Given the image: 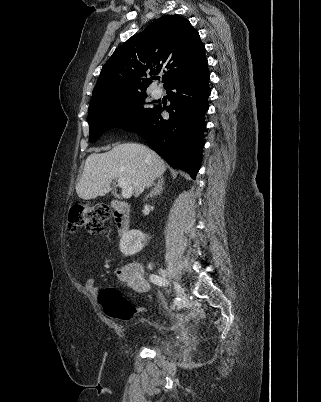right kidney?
<instances>
[{
	"label": "right kidney",
	"instance_id": "ca27d5eb",
	"mask_svg": "<svg viewBox=\"0 0 321 402\" xmlns=\"http://www.w3.org/2000/svg\"><path fill=\"white\" fill-rule=\"evenodd\" d=\"M145 235L139 230H131L123 235L120 240L119 248L125 256H131L144 247Z\"/></svg>",
	"mask_w": 321,
	"mask_h": 402
}]
</instances>
